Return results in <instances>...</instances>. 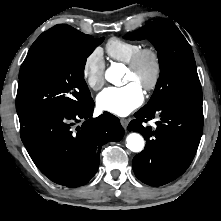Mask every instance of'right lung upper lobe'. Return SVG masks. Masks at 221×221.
Segmentation results:
<instances>
[{"instance_id":"right-lung-upper-lobe-1","label":"right lung upper lobe","mask_w":221,"mask_h":221,"mask_svg":"<svg viewBox=\"0 0 221 221\" xmlns=\"http://www.w3.org/2000/svg\"><path fill=\"white\" fill-rule=\"evenodd\" d=\"M85 35L86 34H83L82 32L72 28L69 25H56L48 31L42 33L37 38V40L32 44L25 60L34 55L39 50L43 49L44 47L62 42L75 41L82 38Z\"/></svg>"}]
</instances>
